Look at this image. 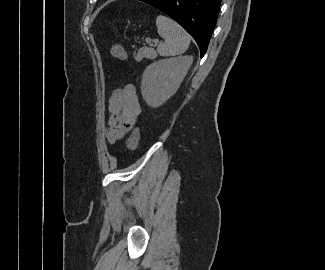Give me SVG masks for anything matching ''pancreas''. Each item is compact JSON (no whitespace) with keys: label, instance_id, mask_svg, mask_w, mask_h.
Wrapping results in <instances>:
<instances>
[{"label":"pancreas","instance_id":"pancreas-1","mask_svg":"<svg viewBox=\"0 0 325 270\" xmlns=\"http://www.w3.org/2000/svg\"><path fill=\"white\" fill-rule=\"evenodd\" d=\"M157 54L154 49L149 47H142L137 53H134V58L136 61H142L144 58L155 59Z\"/></svg>","mask_w":325,"mask_h":270}]
</instances>
